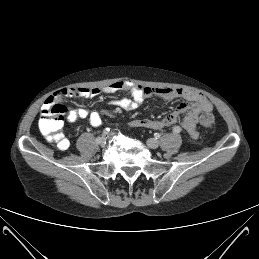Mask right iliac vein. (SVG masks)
<instances>
[{
  "instance_id": "1",
  "label": "right iliac vein",
  "mask_w": 259,
  "mask_h": 259,
  "mask_svg": "<svg viewBox=\"0 0 259 259\" xmlns=\"http://www.w3.org/2000/svg\"><path fill=\"white\" fill-rule=\"evenodd\" d=\"M99 145L101 146H105L106 144V138L104 136L101 137V140L99 142H97Z\"/></svg>"
}]
</instances>
